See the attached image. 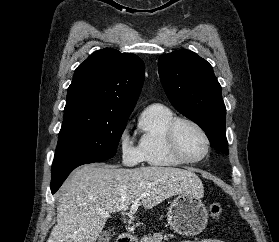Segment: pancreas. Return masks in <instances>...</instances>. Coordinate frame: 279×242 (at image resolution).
<instances>
[{"label":"pancreas","instance_id":"1","mask_svg":"<svg viewBox=\"0 0 279 242\" xmlns=\"http://www.w3.org/2000/svg\"><path fill=\"white\" fill-rule=\"evenodd\" d=\"M173 234H165L163 233H154L145 235L143 238L140 239V242H162L163 239L167 240L169 238H173Z\"/></svg>","mask_w":279,"mask_h":242}]
</instances>
